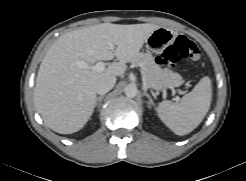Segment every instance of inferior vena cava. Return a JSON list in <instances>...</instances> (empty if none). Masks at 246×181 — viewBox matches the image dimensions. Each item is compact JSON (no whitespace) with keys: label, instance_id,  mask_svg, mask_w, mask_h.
<instances>
[{"label":"inferior vena cava","instance_id":"inferior-vena-cava-1","mask_svg":"<svg viewBox=\"0 0 246 181\" xmlns=\"http://www.w3.org/2000/svg\"><path fill=\"white\" fill-rule=\"evenodd\" d=\"M115 83L116 77L114 76H106L101 78L95 86L96 93L100 95L106 94L114 87Z\"/></svg>","mask_w":246,"mask_h":181}]
</instances>
